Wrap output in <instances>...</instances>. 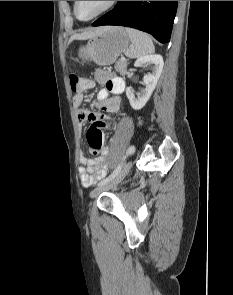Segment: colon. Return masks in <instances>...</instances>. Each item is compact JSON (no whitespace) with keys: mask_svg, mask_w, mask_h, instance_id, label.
<instances>
[{"mask_svg":"<svg viewBox=\"0 0 233 295\" xmlns=\"http://www.w3.org/2000/svg\"><path fill=\"white\" fill-rule=\"evenodd\" d=\"M70 83L72 90L77 93H83L92 88L93 83L88 79L81 78L77 75H71ZM87 142L89 151L96 155L100 153L103 146V133L101 128L91 126L87 131Z\"/></svg>","mask_w":233,"mask_h":295,"instance_id":"colon-1","label":"colon"}]
</instances>
